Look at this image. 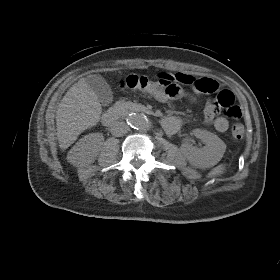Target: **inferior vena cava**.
Instances as JSON below:
<instances>
[{
  "instance_id": "inferior-vena-cava-1",
  "label": "inferior vena cava",
  "mask_w": 280,
  "mask_h": 280,
  "mask_svg": "<svg viewBox=\"0 0 280 280\" xmlns=\"http://www.w3.org/2000/svg\"><path fill=\"white\" fill-rule=\"evenodd\" d=\"M128 130H129V127L127 126V124L124 122H119V121L114 122L111 125V129H110L111 133L117 137H120L123 134L127 133Z\"/></svg>"
}]
</instances>
